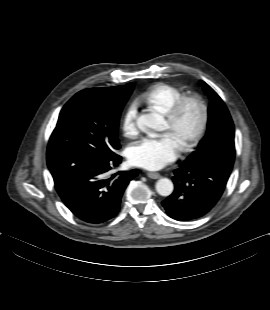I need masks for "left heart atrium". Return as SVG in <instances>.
<instances>
[{"instance_id": "1", "label": "left heart atrium", "mask_w": 270, "mask_h": 310, "mask_svg": "<svg viewBox=\"0 0 270 310\" xmlns=\"http://www.w3.org/2000/svg\"><path fill=\"white\" fill-rule=\"evenodd\" d=\"M180 146L166 133L156 138H145L133 145L128 153L129 162L147 170H157L178 157Z\"/></svg>"}]
</instances>
